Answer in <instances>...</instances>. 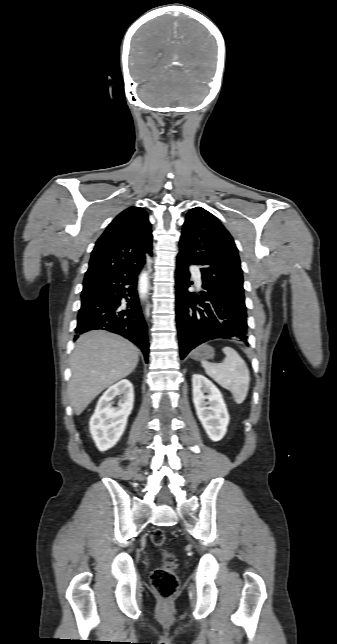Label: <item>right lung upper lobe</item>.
Instances as JSON below:
<instances>
[{
	"label": "right lung upper lobe",
	"mask_w": 337,
	"mask_h": 644,
	"mask_svg": "<svg viewBox=\"0 0 337 644\" xmlns=\"http://www.w3.org/2000/svg\"><path fill=\"white\" fill-rule=\"evenodd\" d=\"M152 254V231L147 213L140 207L121 212L97 240L83 284H93L126 265L145 262Z\"/></svg>",
	"instance_id": "right-lung-upper-lobe-1"
}]
</instances>
